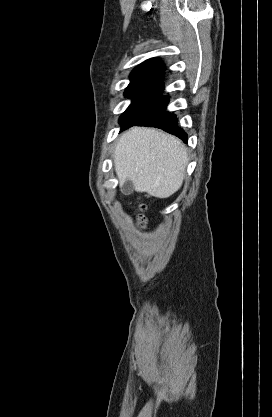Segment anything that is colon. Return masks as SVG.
Instances as JSON below:
<instances>
[{
	"label": "colon",
	"instance_id": "1",
	"mask_svg": "<svg viewBox=\"0 0 272 417\" xmlns=\"http://www.w3.org/2000/svg\"><path fill=\"white\" fill-rule=\"evenodd\" d=\"M143 208H144V206H142V209ZM138 222H139L140 225H144L145 220H144V217L142 215L138 216Z\"/></svg>",
	"mask_w": 272,
	"mask_h": 417
}]
</instances>
